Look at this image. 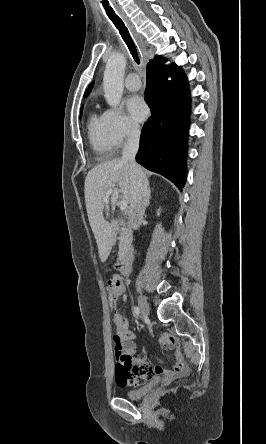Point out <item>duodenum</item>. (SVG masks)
Returning <instances> with one entry per match:
<instances>
[{
	"label": "duodenum",
	"instance_id": "duodenum-1",
	"mask_svg": "<svg viewBox=\"0 0 266 444\" xmlns=\"http://www.w3.org/2000/svg\"><path fill=\"white\" fill-rule=\"evenodd\" d=\"M131 263H132V256L131 253L127 251L123 254V256L120 258V260L117 263L118 269L120 270L122 275L128 276L130 274Z\"/></svg>",
	"mask_w": 266,
	"mask_h": 444
}]
</instances>
